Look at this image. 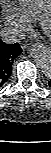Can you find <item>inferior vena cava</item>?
<instances>
[{
  "mask_svg": "<svg viewBox=\"0 0 51 153\" xmlns=\"http://www.w3.org/2000/svg\"><path fill=\"white\" fill-rule=\"evenodd\" d=\"M1 39L7 44H13L25 39V34L17 27H5L0 33Z\"/></svg>",
  "mask_w": 51,
  "mask_h": 153,
  "instance_id": "inferior-vena-cava-1",
  "label": "inferior vena cava"
}]
</instances>
